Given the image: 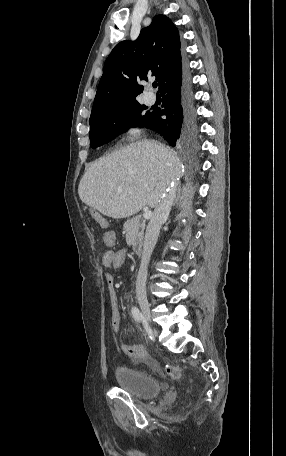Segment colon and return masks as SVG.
Returning <instances> with one entry per match:
<instances>
[{
    "instance_id": "1",
    "label": "colon",
    "mask_w": 286,
    "mask_h": 456,
    "mask_svg": "<svg viewBox=\"0 0 286 456\" xmlns=\"http://www.w3.org/2000/svg\"><path fill=\"white\" fill-rule=\"evenodd\" d=\"M136 356H137L138 360L143 361L152 369H154V370L158 369V365H157L156 361L154 359H152L151 357H149L145 351H143V350L138 351L136 353ZM164 369H165L166 374H168L169 376H171L173 378L180 377L181 371L178 366L166 364Z\"/></svg>"
}]
</instances>
